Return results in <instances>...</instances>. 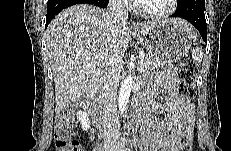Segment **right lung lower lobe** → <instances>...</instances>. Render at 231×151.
Returning <instances> with one entry per match:
<instances>
[{
  "label": "right lung lower lobe",
  "instance_id": "98d812e1",
  "mask_svg": "<svg viewBox=\"0 0 231 151\" xmlns=\"http://www.w3.org/2000/svg\"><path fill=\"white\" fill-rule=\"evenodd\" d=\"M108 2L109 0H48L45 27L47 28L48 24L57 13L69 6L88 3L105 8Z\"/></svg>",
  "mask_w": 231,
  "mask_h": 151
}]
</instances>
